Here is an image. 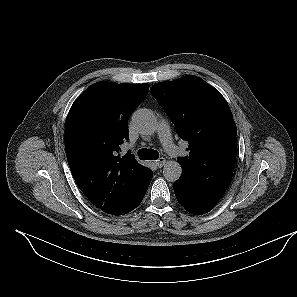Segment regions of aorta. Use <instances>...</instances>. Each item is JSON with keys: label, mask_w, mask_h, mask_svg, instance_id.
<instances>
[{"label": "aorta", "mask_w": 297, "mask_h": 297, "mask_svg": "<svg viewBox=\"0 0 297 297\" xmlns=\"http://www.w3.org/2000/svg\"><path fill=\"white\" fill-rule=\"evenodd\" d=\"M132 123L142 134L151 135L156 130V118L147 109H138L132 115ZM182 174V167L177 161H168L163 167V175L169 182H176Z\"/></svg>", "instance_id": "obj_1"}]
</instances>
